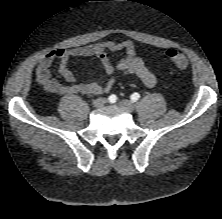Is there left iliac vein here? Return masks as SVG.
Listing matches in <instances>:
<instances>
[{
    "mask_svg": "<svg viewBox=\"0 0 222 219\" xmlns=\"http://www.w3.org/2000/svg\"><path fill=\"white\" fill-rule=\"evenodd\" d=\"M119 105L128 112H132L135 109V105L129 100H121L119 102Z\"/></svg>",
    "mask_w": 222,
    "mask_h": 219,
    "instance_id": "left-iliac-vein-1",
    "label": "left iliac vein"
}]
</instances>
